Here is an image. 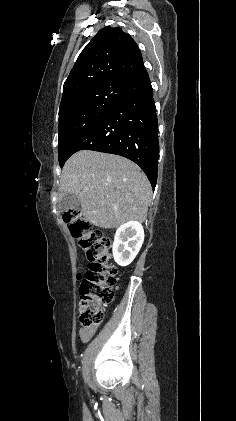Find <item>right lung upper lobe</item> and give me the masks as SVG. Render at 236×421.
<instances>
[{
  "instance_id": "1",
  "label": "right lung upper lobe",
  "mask_w": 236,
  "mask_h": 421,
  "mask_svg": "<svg viewBox=\"0 0 236 421\" xmlns=\"http://www.w3.org/2000/svg\"><path fill=\"white\" fill-rule=\"evenodd\" d=\"M144 68L135 41L119 27H104L83 49L63 86L61 103L88 90L120 86Z\"/></svg>"
}]
</instances>
